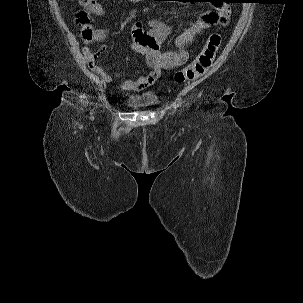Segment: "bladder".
Listing matches in <instances>:
<instances>
[{
    "instance_id": "31cf9c89",
    "label": "bladder",
    "mask_w": 303,
    "mask_h": 303,
    "mask_svg": "<svg viewBox=\"0 0 303 303\" xmlns=\"http://www.w3.org/2000/svg\"><path fill=\"white\" fill-rule=\"evenodd\" d=\"M158 98L153 95H136L130 94L125 99V104L128 108L133 110L146 109L158 103Z\"/></svg>"
}]
</instances>
